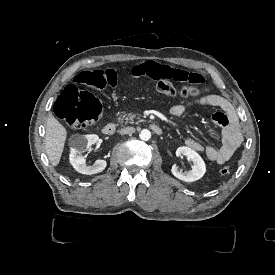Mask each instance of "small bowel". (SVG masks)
Masks as SVG:
<instances>
[{
    "instance_id": "small-bowel-1",
    "label": "small bowel",
    "mask_w": 275,
    "mask_h": 275,
    "mask_svg": "<svg viewBox=\"0 0 275 275\" xmlns=\"http://www.w3.org/2000/svg\"><path fill=\"white\" fill-rule=\"evenodd\" d=\"M136 74L147 76L152 81H180L181 83L194 84H201L204 81V74L201 71L182 70L173 64L160 65L155 62H146L137 66ZM104 77L107 84H112L113 92L117 99L127 95L125 90L121 91L119 89V83L117 82L119 74L117 70L108 68ZM197 105H212L218 107L227 115L229 124L221 127L222 144L220 146L205 145L192 138L186 139L185 145L196 152L202 153L209 161L224 164L231 159L243 141L236 109L226 98L219 95H210L207 98H198L178 103L171 107L170 114L176 119H182L190 107Z\"/></svg>"
}]
</instances>
